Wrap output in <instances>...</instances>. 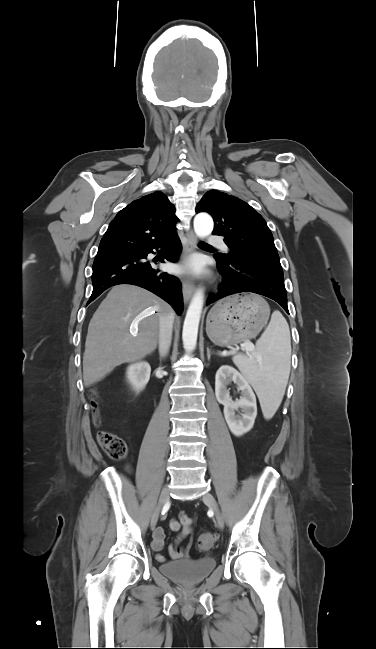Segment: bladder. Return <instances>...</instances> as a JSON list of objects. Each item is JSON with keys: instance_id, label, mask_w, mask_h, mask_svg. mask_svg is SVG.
<instances>
[{"instance_id": "1", "label": "bladder", "mask_w": 376, "mask_h": 649, "mask_svg": "<svg viewBox=\"0 0 376 649\" xmlns=\"http://www.w3.org/2000/svg\"><path fill=\"white\" fill-rule=\"evenodd\" d=\"M216 561L211 557L182 559L164 562L160 571L181 584L192 585L202 582L215 568Z\"/></svg>"}]
</instances>
